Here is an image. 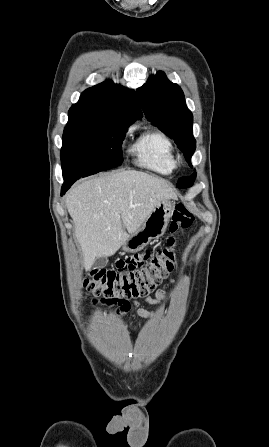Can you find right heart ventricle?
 Masks as SVG:
<instances>
[{"instance_id":"e07e8e85","label":"right heart ventricle","mask_w":269,"mask_h":447,"mask_svg":"<svg viewBox=\"0 0 269 447\" xmlns=\"http://www.w3.org/2000/svg\"><path fill=\"white\" fill-rule=\"evenodd\" d=\"M131 150L138 166L156 173L168 175L177 167L173 143L160 130H153L142 136Z\"/></svg>"}]
</instances>
